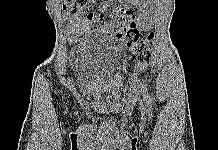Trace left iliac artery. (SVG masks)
I'll list each match as a JSON object with an SVG mask.
<instances>
[{
  "label": "left iliac artery",
  "instance_id": "left-iliac-artery-1",
  "mask_svg": "<svg viewBox=\"0 0 218 150\" xmlns=\"http://www.w3.org/2000/svg\"><path fill=\"white\" fill-rule=\"evenodd\" d=\"M142 91H143L144 101L146 102V105H147L148 110L150 112L152 110V101H151V96L148 93L147 87L145 85L142 87Z\"/></svg>",
  "mask_w": 218,
  "mask_h": 150
}]
</instances>
